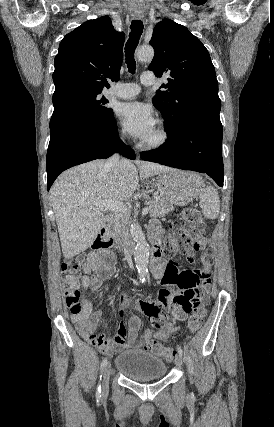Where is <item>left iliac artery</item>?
I'll return each mask as SVG.
<instances>
[{
    "label": "left iliac artery",
    "instance_id": "obj_1",
    "mask_svg": "<svg viewBox=\"0 0 274 427\" xmlns=\"http://www.w3.org/2000/svg\"><path fill=\"white\" fill-rule=\"evenodd\" d=\"M177 351L181 356L183 355V350L180 345H177Z\"/></svg>",
    "mask_w": 274,
    "mask_h": 427
}]
</instances>
